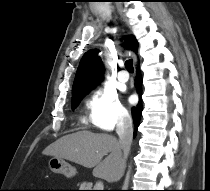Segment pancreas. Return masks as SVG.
Segmentation results:
<instances>
[{"label":"pancreas","mask_w":210,"mask_h":191,"mask_svg":"<svg viewBox=\"0 0 210 191\" xmlns=\"http://www.w3.org/2000/svg\"><path fill=\"white\" fill-rule=\"evenodd\" d=\"M80 187H81L80 189H91L92 184L84 182L80 185Z\"/></svg>","instance_id":"obj_1"}]
</instances>
